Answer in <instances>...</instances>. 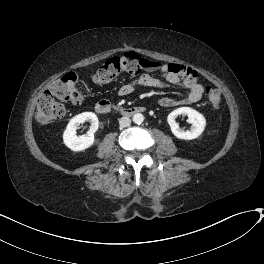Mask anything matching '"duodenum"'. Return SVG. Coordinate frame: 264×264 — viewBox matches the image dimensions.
Masks as SVG:
<instances>
[{
	"mask_svg": "<svg viewBox=\"0 0 264 264\" xmlns=\"http://www.w3.org/2000/svg\"><path fill=\"white\" fill-rule=\"evenodd\" d=\"M95 110L101 115H106L111 111V104L107 100H101L96 103ZM144 111L145 109L139 106L122 107L119 109V114L125 117H131L136 114H141Z\"/></svg>",
	"mask_w": 264,
	"mask_h": 264,
	"instance_id": "410a0bca",
	"label": "duodenum"
}]
</instances>
